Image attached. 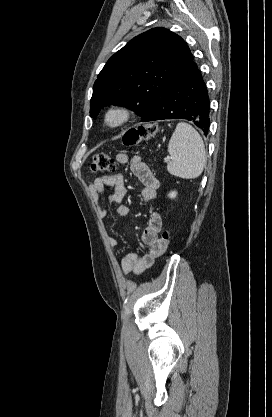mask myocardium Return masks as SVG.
Segmentation results:
<instances>
[{"label":"myocardium","mask_w":272,"mask_h":417,"mask_svg":"<svg viewBox=\"0 0 272 417\" xmlns=\"http://www.w3.org/2000/svg\"><path fill=\"white\" fill-rule=\"evenodd\" d=\"M133 116L132 109L126 104H115L106 109L103 123L109 129L124 126Z\"/></svg>","instance_id":"myocardium-1"}]
</instances>
